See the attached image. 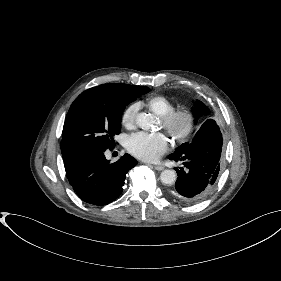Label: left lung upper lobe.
I'll list each match as a JSON object with an SVG mask.
<instances>
[{
    "instance_id": "5c2ea615",
    "label": "left lung upper lobe",
    "mask_w": 281,
    "mask_h": 281,
    "mask_svg": "<svg viewBox=\"0 0 281 281\" xmlns=\"http://www.w3.org/2000/svg\"><path fill=\"white\" fill-rule=\"evenodd\" d=\"M193 114H194V117L196 119L200 118L202 116L205 117V116L209 115V109L201 101L197 100L195 102V107L193 109ZM187 143H189V142L181 144L179 147L176 148L175 152L172 153V154L173 155L182 154L183 151L186 148Z\"/></svg>"
}]
</instances>
